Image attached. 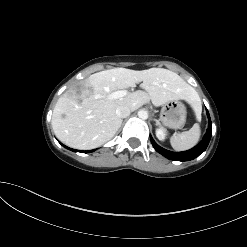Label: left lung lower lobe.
<instances>
[{"mask_svg":"<svg viewBox=\"0 0 247 247\" xmlns=\"http://www.w3.org/2000/svg\"><path fill=\"white\" fill-rule=\"evenodd\" d=\"M207 115L209 118V124H208L206 134L204 138L202 139V141L194 148L184 151V152H171L157 145L156 142L153 140V138L150 136V140H151V143L154 149L160 154H162L163 156H165L166 158L170 160H174V161H189V160L195 159L196 157H198L201 153H203L206 150L209 144V141L211 139L212 123H211L210 115L208 111H207Z\"/></svg>","mask_w":247,"mask_h":247,"instance_id":"left-lung-lower-lobe-1","label":"left lung lower lobe"}]
</instances>
